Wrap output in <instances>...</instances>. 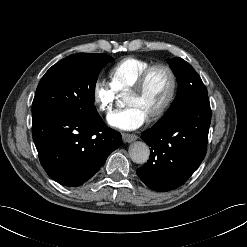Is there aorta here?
Masks as SVG:
<instances>
[{"label":"aorta","instance_id":"1","mask_svg":"<svg viewBox=\"0 0 247 247\" xmlns=\"http://www.w3.org/2000/svg\"><path fill=\"white\" fill-rule=\"evenodd\" d=\"M129 155L134 163L144 164L149 159L150 150L146 143L136 141L129 146Z\"/></svg>","mask_w":247,"mask_h":247}]
</instances>
